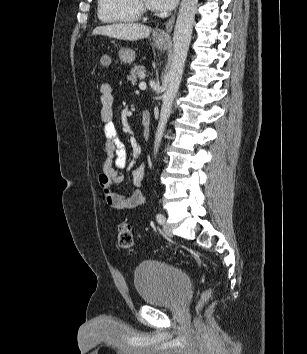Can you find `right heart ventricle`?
I'll return each mask as SVG.
<instances>
[{"label": "right heart ventricle", "instance_id": "obj_1", "mask_svg": "<svg viewBox=\"0 0 307 354\" xmlns=\"http://www.w3.org/2000/svg\"><path fill=\"white\" fill-rule=\"evenodd\" d=\"M98 17L105 23H130L140 18L133 0H97Z\"/></svg>", "mask_w": 307, "mask_h": 354}]
</instances>
